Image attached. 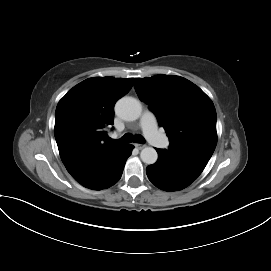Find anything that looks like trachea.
Listing matches in <instances>:
<instances>
[{"instance_id": "1", "label": "trachea", "mask_w": 271, "mask_h": 271, "mask_svg": "<svg viewBox=\"0 0 271 271\" xmlns=\"http://www.w3.org/2000/svg\"><path fill=\"white\" fill-rule=\"evenodd\" d=\"M135 142V143H144L145 139L143 138V136L141 135H135L133 136L132 134H125L123 137H121V139L118 141L120 143H131V142Z\"/></svg>"}]
</instances>
